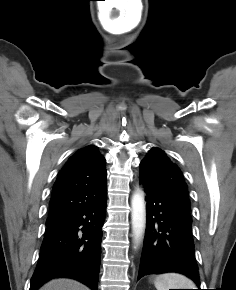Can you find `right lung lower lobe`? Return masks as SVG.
<instances>
[{
    "mask_svg": "<svg viewBox=\"0 0 236 290\" xmlns=\"http://www.w3.org/2000/svg\"><path fill=\"white\" fill-rule=\"evenodd\" d=\"M106 194L54 224L47 225L30 290L55 277L76 279L97 290Z\"/></svg>",
    "mask_w": 236,
    "mask_h": 290,
    "instance_id": "98d812e1",
    "label": "right lung lower lobe"
}]
</instances>
